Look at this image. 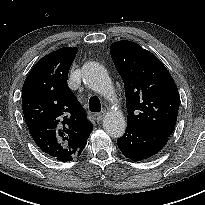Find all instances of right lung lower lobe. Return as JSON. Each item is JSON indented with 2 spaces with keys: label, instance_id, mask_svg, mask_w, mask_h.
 <instances>
[{
  "label": "right lung lower lobe",
  "instance_id": "1",
  "mask_svg": "<svg viewBox=\"0 0 205 205\" xmlns=\"http://www.w3.org/2000/svg\"><path fill=\"white\" fill-rule=\"evenodd\" d=\"M84 147H85V146H84ZM84 147L80 149L79 155L81 154V152H82V150L84 149ZM79 155H78V156H79Z\"/></svg>",
  "mask_w": 205,
  "mask_h": 205
}]
</instances>
